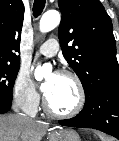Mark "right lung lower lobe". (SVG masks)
Returning a JSON list of instances; mask_svg holds the SVG:
<instances>
[{
  "instance_id": "right-lung-lower-lobe-1",
  "label": "right lung lower lobe",
  "mask_w": 119,
  "mask_h": 141,
  "mask_svg": "<svg viewBox=\"0 0 119 141\" xmlns=\"http://www.w3.org/2000/svg\"><path fill=\"white\" fill-rule=\"evenodd\" d=\"M11 108V102L0 100V114L6 113Z\"/></svg>"
}]
</instances>
